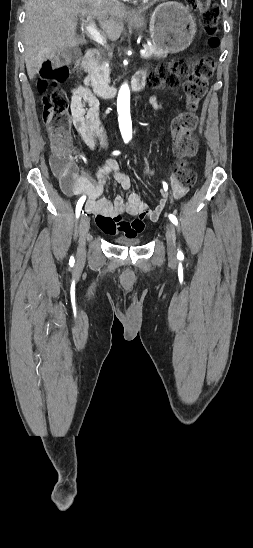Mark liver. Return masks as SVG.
<instances>
[{"instance_id":"1","label":"liver","mask_w":253,"mask_h":548,"mask_svg":"<svg viewBox=\"0 0 253 548\" xmlns=\"http://www.w3.org/2000/svg\"><path fill=\"white\" fill-rule=\"evenodd\" d=\"M78 15L97 17L103 36L116 41L122 33L124 19L131 12L118 0H28L23 40L30 80L47 59L87 43L76 36Z\"/></svg>"}]
</instances>
